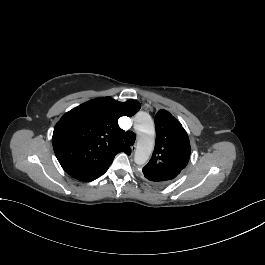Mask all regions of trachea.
Masks as SVG:
<instances>
[{
  "mask_svg": "<svg viewBox=\"0 0 265 265\" xmlns=\"http://www.w3.org/2000/svg\"><path fill=\"white\" fill-rule=\"evenodd\" d=\"M135 133L132 131H128L126 132V134L124 135V141L126 144H128L129 146H132L135 143Z\"/></svg>",
  "mask_w": 265,
  "mask_h": 265,
  "instance_id": "3493384b",
  "label": "trachea"
}]
</instances>
